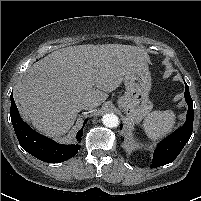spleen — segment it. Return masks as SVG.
I'll return each instance as SVG.
<instances>
[{
    "instance_id": "spleen-1",
    "label": "spleen",
    "mask_w": 201,
    "mask_h": 201,
    "mask_svg": "<svg viewBox=\"0 0 201 201\" xmlns=\"http://www.w3.org/2000/svg\"><path fill=\"white\" fill-rule=\"evenodd\" d=\"M176 117L173 111H153L144 120V129L147 136L157 140L170 133L174 127Z\"/></svg>"
}]
</instances>
